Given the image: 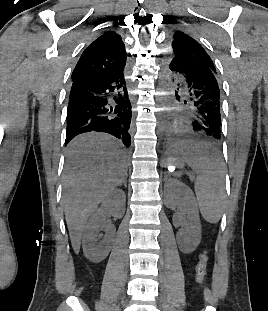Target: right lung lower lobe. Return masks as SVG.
<instances>
[{
	"label": "right lung lower lobe",
	"instance_id": "right-lung-lower-lobe-1",
	"mask_svg": "<svg viewBox=\"0 0 268 311\" xmlns=\"http://www.w3.org/2000/svg\"><path fill=\"white\" fill-rule=\"evenodd\" d=\"M123 71L72 82L65 145L79 134L97 131L111 134L130 146L132 111Z\"/></svg>",
	"mask_w": 268,
	"mask_h": 311
}]
</instances>
